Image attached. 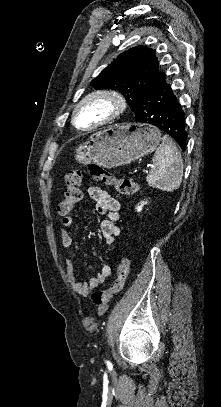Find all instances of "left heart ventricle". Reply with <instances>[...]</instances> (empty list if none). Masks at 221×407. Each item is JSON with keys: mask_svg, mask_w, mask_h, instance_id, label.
<instances>
[{"mask_svg": "<svg viewBox=\"0 0 221 407\" xmlns=\"http://www.w3.org/2000/svg\"><path fill=\"white\" fill-rule=\"evenodd\" d=\"M110 107L105 101H92L82 107L77 114V122L80 126H88L102 119L109 112Z\"/></svg>", "mask_w": 221, "mask_h": 407, "instance_id": "left-heart-ventricle-1", "label": "left heart ventricle"}]
</instances>
